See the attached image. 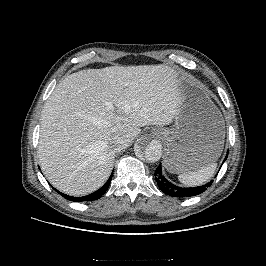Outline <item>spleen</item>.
<instances>
[{
	"mask_svg": "<svg viewBox=\"0 0 266 266\" xmlns=\"http://www.w3.org/2000/svg\"><path fill=\"white\" fill-rule=\"evenodd\" d=\"M216 168L217 163L213 162L201 168L200 170L183 172L179 174L178 179L186 186L202 185L212 178Z\"/></svg>",
	"mask_w": 266,
	"mask_h": 266,
	"instance_id": "spleen-1",
	"label": "spleen"
}]
</instances>
